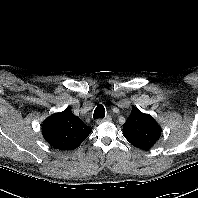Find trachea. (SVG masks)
I'll use <instances>...</instances> for the list:
<instances>
[{
	"instance_id": "1",
	"label": "trachea",
	"mask_w": 198,
	"mask_h": 198,
	"mask_svg": "<svg viewBox=\"0 0 198 198\" xmlns=\"http://www.w3.org/2000/svg\"><path fill=\"white\" fill-rule=\"evenodd\" d=\"M105 117V108L103 105L99 104L96 109L94 110L93 118L98 119V118H104Z\"/></svg>"
}]
</instances>
